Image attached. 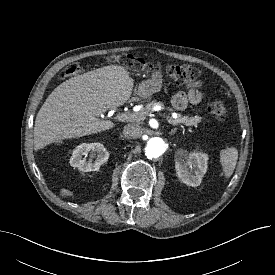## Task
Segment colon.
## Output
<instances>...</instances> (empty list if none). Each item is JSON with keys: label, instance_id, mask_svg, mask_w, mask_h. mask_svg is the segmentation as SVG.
<instances>
[{"label": "colon", "instance_id": "5ec220e1", "mask_svg": "<svg viewBox=\"0 0 275 275\" xmlns=\"http://www.w3.org/2000/svg\"><path fill=\"white\" fill-rule=\"evenodd\" d=\"M111 62H116L135 71H150L152 66L141 58L131 54H113L109 57ZM81 73V68L73 64L66 68L61 74L62 79L77 76ZM167 76L177 84H190L201 76V70L189 65H169L166 67ZM208 112L217 119H224L227 116V108L220 100H212L207 105Z\"/></svg>", "mask_w": 275, "mask_h": 275}]
</instances>
